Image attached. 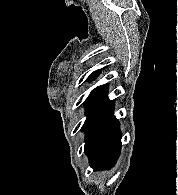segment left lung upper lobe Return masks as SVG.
I'll return each mask as SVG.
<instances>
[{
    "label": "left lung upper lobe",
    "instance_id": "1",
    "mask_svg": "<svg viewBox=\"0 0 178 195\" xmlns=\"http://www.w3.org/2000/svg\"><path fill=\"white\" fill-rule=\"evenodd\" d=\"M101 72V69L94 71L89 75L87 81H92ZM108 85H101L91 91L90 95L84 102L86 107V120L83 127L88 124L92 119H94L98 114H100L104 109H106L113 101L107 98Z\"/></svg>",
    "mask_w": 178,
    "mask_h": 195
}]
</instances>
